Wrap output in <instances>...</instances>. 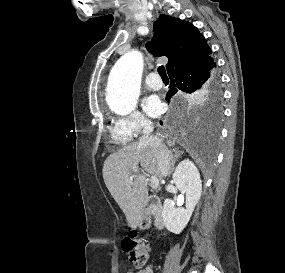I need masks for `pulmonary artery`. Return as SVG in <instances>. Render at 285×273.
I'll list each match as a JSON object with an SVG mask.
<instances>
[{
  "mask_svg": "<svg viewBox=\"0 0 285 273\" xmlns=\"http://www.w3.org/2000/svg\"><path fill=\"white\" fill-rule=\"evenodd\" d=\"M145 85L150 90H159L162 88L163 83L156 72H151L145 78Z\"/></svg>",
  "mask_w": 285,
  "mask_h": 273,
  "instance_id": "obj_1",
  "label": "pulmonary artery"
}]
</instances>
